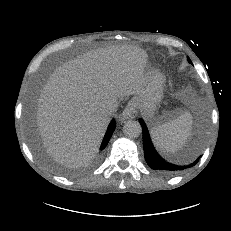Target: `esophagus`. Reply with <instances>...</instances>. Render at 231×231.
I'll list each match as a JSON object with an SVG mask.
<instances>
[{"mask_svg":"<svg viewBox=\"0 0 231 231\" xmlns=\"http://www.w3.org/2000/svg\"><path fill=\"white\" fill-rule=\"evenodd\" d=\"M137 116L136 106L133 102H129L121 114L123 120L134 119Z\"/></svg>","mask_w":231,"mask_h":231,"instance_id":"esophagus-1","label":"esophagus"}]
</instances>
